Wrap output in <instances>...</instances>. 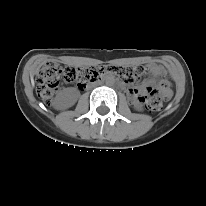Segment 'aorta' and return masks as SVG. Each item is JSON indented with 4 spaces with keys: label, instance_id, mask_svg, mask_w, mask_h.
Instances as JSON below:
<instances>
[{
    "label": "aorta",
    "instance_id": "obj_1",
    "mask_svg": "<svg viewBox=\"0 0 206 206\" xmlns=\"http://www.w3.org/2000/svg\"><path fill=\"white\" fill-rule=\"evenodd\" d=\"M106 83H107L108 85H111V84L113 83V81L109 79V80L106 81Z\"/></svg>",
    "mask_w": 206,
    "mask_h": 206
}]
</instances>
